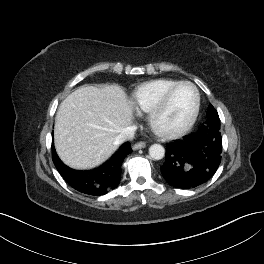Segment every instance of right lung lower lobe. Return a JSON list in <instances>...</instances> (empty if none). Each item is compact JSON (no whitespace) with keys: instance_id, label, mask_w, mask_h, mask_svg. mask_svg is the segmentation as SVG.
Wrapping results in <instances>:
<instances>
[{"instance_id":"98d812e1","label":"right lung lower lobe","mask_w":264,"mask_h":264,"mask_svg":"<svg viewBox=\"0 0 264 264\" xmlns=\"http://www.w3.org/2000/svg\"><path fill=\"white\" fill-rule=\"evenodd\" d=\"M131 152L130 143L126 142L102 166L90 171H76L59 159L52 142V159L61 176L79 192L95 196L104 195L119 184L122 162Z\"/></svg>"}]
</instances>
